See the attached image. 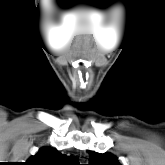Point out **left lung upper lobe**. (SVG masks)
I'll return each instance as SVG.
<instances>
[{
    "instance_id": "left-lung-upper-lobe-1",
    "label": "left lung upper lobe",
    "mask_w": 165,
    "mask_h": 165,
    "mask_svg": "<svg viewBox=\"0 0 165 165\" xmlns=\"http://www.w3.org/2000/svg\"><path fill=\"white\" fill-rule=\"evenodd\" d=\"M89 154V165H121L118 159L108 152L102 154L94 151H89Z\"/></svg>"
}]
</instances>
